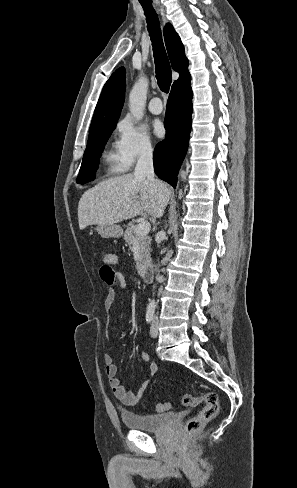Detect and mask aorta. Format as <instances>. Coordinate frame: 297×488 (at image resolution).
<instances>
[{
  "instance_id": "aorta-1",
  "label": "aorta",
  "mask_w": 297,
  "mask_h": 488,
  "mask_svg": "<svg viewBox=\"0 0 297 488\" xmlns=\"http://www.w3.org/2000/svg\"><path fill=\"white\" fill-rule=\"evenodd\" d=\"M148 85V79L141 74L137 82L134 84L132 90L130 91L129 109L136 120H140L143 117L148 92ZM150 303L154 304V301L152 300Z\"/></svg>"
}]
</instances>
